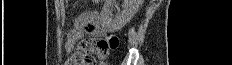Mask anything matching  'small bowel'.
<instances>
[{"label":"small bowel","mask_w":232,"mask_h":65,"mask_svg":"<svg viewBox=\"0 0 232 65\" xmlns=\"http://www.w3.org/2000/svg\"><path fill=\"white\" fill-rule=\"evenodd\" d=\"M85 33H89L90 35L96 37L103 35L104 31L100 27L97 14L85 13L76 20L74 27L68 34L65 43V49L69 55L66 65H90L83 59L79 49L77 52L73 53L75 45L84 37Z\"/></svg>","instance_id":"small-bowel-1"}]
</instances>
